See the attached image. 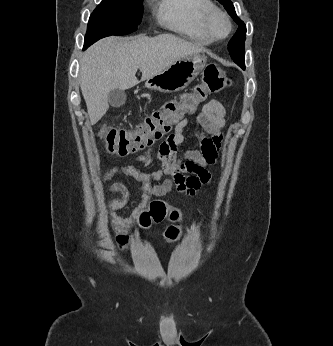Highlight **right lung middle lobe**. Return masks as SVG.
<instances>
[{
	"mask_svg": "<svg viewBox=\"0 0 333 346\" xmlns=\"http://www.w3.org/2000/svg\"><path fill=\"white\" fill-rule=\"evenodd\" d=\"M143 0H102L89 18L84 49L111 35H126L142 20Z\"/></svg>",
	"mask_w": 333,
	"mask_h": 346,
	"instance_id": "right-lung-middle-lobe-1",
	"label": "right lung middle lobe"
}]
</instances>
